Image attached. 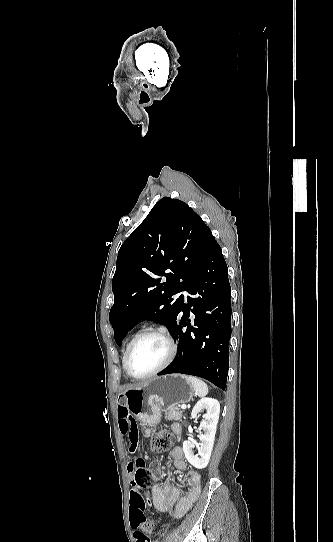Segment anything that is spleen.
Instances as JSON below:
<instances>
[{
	"label": "spleen",
	"instance_id": "1",
	"mask_svg": "<svg viewBox=\"0 0 333 542\" xmlns=\"http://www.w3.org/2000/svg\"><path fill=\"white\" fill-rule=\"evenodd\" d=\"M189 384H191L196 396L199 398H205L208 394V386L199 378H193V376H187Z\"/></svg>",
	"mask_w": 333,
	"mask_h": 542
}]
</instances>
